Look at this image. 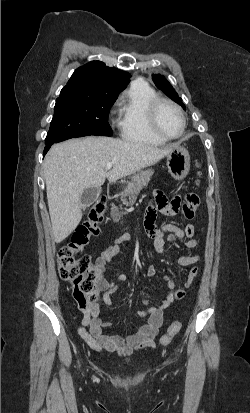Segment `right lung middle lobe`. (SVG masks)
I'll return each instance as SVG.
<instances>
[{
  "mask_svg": "<svg viewBox=\"0 0 250 413\" xmlns=\"http://www.w3.org/2000/svg\"><path fill=\"white\" fill-rule=\"evenodd\" d=\"M117 97L113 93L63 88L56 100L45 144L76 134L112 136L108 114Z\"/></svg>",
  "mask_w": 250,
  "mask_h": 413,
  "instance_id": "dd1d6c3e",
  "label": "right lung middle lobe"
}]
</instances>
